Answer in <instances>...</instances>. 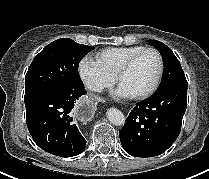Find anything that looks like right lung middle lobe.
<instances>
[{
  "label": "right lung middle lobe",
  "mask_w": 209,
  "mask_h": 179,
  "mask_svg": "<svg viewBox=\"0 0 209 179\" xmlns=\"http://www.w3.org/2000/svg\"><path fill=\"white\" fill-rule=\"evenodd\" d=\"M93 49L69 38H61L47 45L35 56L25 76L26 109L55 90L82 87L78 66Z\"/></svg>",
  "instance_id": "obj_1"
}]
</instances>
